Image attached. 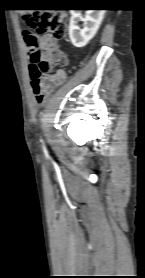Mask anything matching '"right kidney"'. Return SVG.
<instances>
[{"label": "right kidney", "instance_id": "ca27d5eb", "mask_svg": "<svg viewBox=\"0 0 145 278\" xmlns=\"http://www.w3.org/2000/svg\"><path fill=\"white\" fill-rule=\"evenodd\" d=\"M70 13V40L75 47H84L96 34L103 20L105 10H87L84 20L82 19L81 10H70ZM80 21H84L82 28L79 25Z\"/></svg>", "mask_w": 145, "mask_h": 278}]
</instances>
